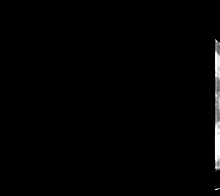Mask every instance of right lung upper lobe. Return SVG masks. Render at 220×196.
Returning <instances> with one entry per match:
<instances>
[{
    "mask_svg": "<svg viewBox=\"0 0 220 196\" xmlns=\"http://www.w3.org/2000/svg\"><path fill=\"white\" fill-rule=\"evenodd\" d=\"M97 50L83 46L67 56L60 78L49 89V115L52 122L70 138L86 132V116L80 106V73L95 59Z\"/></svg>",
    "mask_w": 220,
    "mask_h": 196,
    "instance_id": "1",
    "label": "right lung upper lobe"
}]
</instances>
